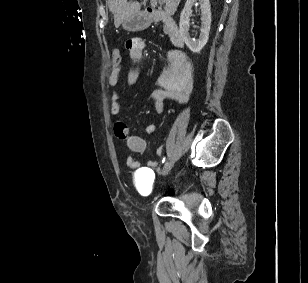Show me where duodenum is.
Masks as SVG:
<instances>
[{
    "instance_id": "410a0bca",
    "label": "duodenum",
    "mask_w": 308,
    "mask_h": 283,
    "mask_svg": "<svg viewBox=\"0 0 308 283\" xmlns=\"http://www.w3.org/2000/svg\"><path fill=\"white\" fill-rule=\"evenodd\" d=\"M145 18L150 23H162L167 31L168 37L176 48H182L184 45L183 37L176 21L153 8H148L145 11Z\"/></svg>"
}]
</instances>
